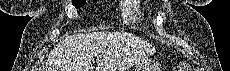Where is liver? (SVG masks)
Masks as SVG:
<instances>
[{"instance_id":"liver-1","label":"liver","mask_w":230,"mask_h":71,"mask_svg":"<svg viewBox=\"0 0 230 71\" xmlns=\"http://www.w3.org/2000/svg\"><path fill=\"white\" fill-rule=\"evenodd\" d=\"M155 52L148 42L129 33L88 32L67 36L51 50L46 71H125L134 61Z\"/></svg>"}]
</instances>
